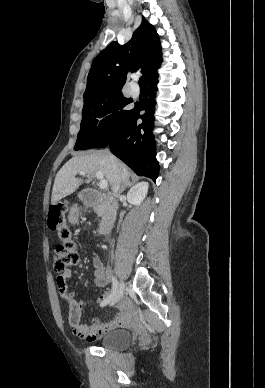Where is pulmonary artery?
<instances>
[{"mask_svg": "<svg viewBox=\"0 0 265 388\" xmlns=\"http://www.w3.org/2000/svg\"><path fill=\"white\" fill-rule=\"evenodd\" d=\"M132 87H133V88H136L137 86H136V85H133ZM130 94H131L132 96H136V95L138 94V92H137V90H135V89H131Z\"/></svg>", "mask_w": 265, "mask_h": 388, "instance_id": "1", "label": "pulmonary artery"}]
</instances>
